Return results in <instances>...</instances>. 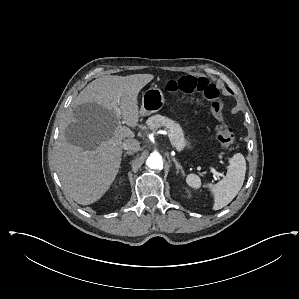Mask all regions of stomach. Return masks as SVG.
<instances>
[{
    "mask_svg": "<svg viewBox=\"0 0 299 299\" xmlns=\"http://www.w3.org/2000/svg\"><path fill=\"white\" fill-rule=\"evenodd\" d=\"M165 99L163 92L156 86H152L142 94V105L140 109L141 116H148L158 112L164 105ZM188 147H191L189 141H185Z\"/></svg>",
    "mask_w": 299,
    "mask_h": 299,
    "instance_id": "obj_1",
    "label": "stomach"
}]
</instances>
